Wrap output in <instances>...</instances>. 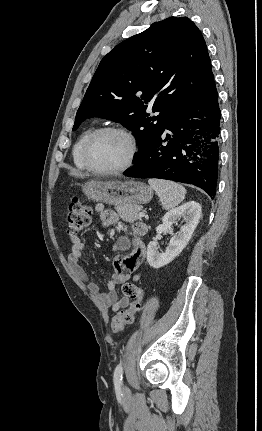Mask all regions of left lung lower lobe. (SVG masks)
Instances as JSON below:
<instances>
[{
	"label": "left lung lower lobe",
	"instance_id": "1",
	"mask_svg": "<svg viewBox=\"0 0 262 431\" xmlns=\"http://www.w3.org/2000/svg\"><path fill=\"white\" fill-rule=\"evenodd\" d=\"M220 108L215 82L185 105L123 175L195 185L216 195Z\"/></svg>",
	"mask_w": 262,
	"mask_h": 431
}]
</instances>
